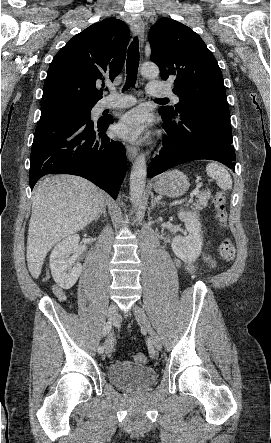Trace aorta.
<instances>
[{"label":"aorta","instance_id":"aorta-1","mask_svg":"<svg viewBox=\"0 0 271 443\" xmlns=\"http://www.w3.org/2000/svg\"><path fill=\"white\" fill-rule=\"evenodd\" d=\"M141 76L144 78H157L159 76V68L152 62L142 64L140 68ZM147 176V168L144 154L136 158L131 174H130V202L133 206H137L141 202V196L145 190Z\"/></svg>","mask_w":271,"mask_h":443}]
</instances>
